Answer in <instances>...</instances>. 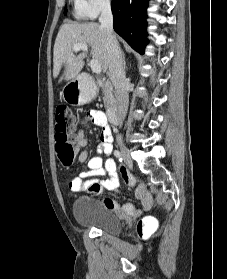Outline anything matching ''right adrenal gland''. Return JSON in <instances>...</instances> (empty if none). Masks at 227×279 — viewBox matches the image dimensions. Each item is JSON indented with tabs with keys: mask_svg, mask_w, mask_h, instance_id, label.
<instances>
[{
	"mask_svg": "<svg viewBox=\"0 0 227 279\" xmlns=\"http://www.w3.org/2000/svg\"><path fill=\"white\" fill-rule=\"evenodd\" d=\"M123 65L126 68L125 54L122 52Z\"/></svg>",
	"mask_w": 227,
	"mask_h": 279,
	"instance_id": "2a0ac1e0",
	"label": "right adrenal gland"
}]
</instances>
